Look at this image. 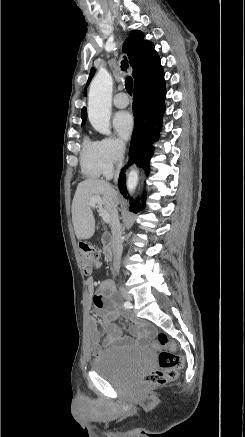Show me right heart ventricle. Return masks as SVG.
I'll list each match as a JSON object with an SVG mask.
<instances>
[{"instance_id": "e07e8e85", "label": "right heart ventricle", "mask_w": 245, "mask_h": 437, "mask_svg": "<svg viewBox=\"0 0 245 437\" xmlns=\"http://www.w3.org/2000/svg\"><path fill=\"white\" fill-rule=\"evenodd\" d=\"M80 162L83 173L91 178L103 175V167L98 155L97 142L85 137L82 142Z\"/></svg>"}]
</instances>
